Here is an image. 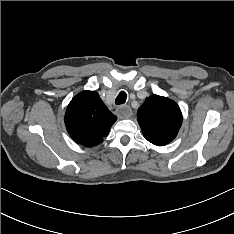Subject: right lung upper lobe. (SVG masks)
Masks as SVG:
<instances>
[{"label":"right lung upper lobe","mask_w":234,"mask_h":234,"mask_svg":"<svg viewBox=\"0 0 234 234\" xmlns=\"http://www.w3.org/2000/svg\"><path fill=\"white\" fill-rule=\"evenodd\" d=\"M65 125L71 138L85 147L103 141L117 120L95 91H83L69 103Z\"/></svg>","instance_id":"1"}]
</instances>
